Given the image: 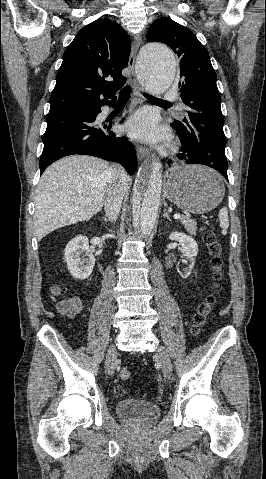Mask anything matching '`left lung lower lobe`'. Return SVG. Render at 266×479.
I'll list each match as a JSON object with an SVG mask.
<instances>
[{"label":"left lung lower lobe","mask_w":266,"mask_h":479,"mask_svg":"<svg viewBox=\"0 0 266 479\" xmlns=\"http://www.w3.org/2000/svg\"><path fill=\"white\" fill-rule=\"evenodd\" d=\"M173 127V126H172ZM174 128V127H173ZM175 129V128H174ZM180 135V134H179ZM180 139H181V144H182V148L180 149V152L179 154H177L178 158L180 160H185L186 163L188 164H203L199 161V159L193 157L189 152H188V149L186 148L185 144H184V140L182 138V136L180 135ZM169 163L171 162V160L168 161ZM203 165H207L209 167H212L214 169H216L217 171H219L220 173H222V175L228 180V176H227V168H228V164L226 161H221V160H218L214 163H211V164H203Z\"/></svg>","instance_id":"obj_1"}]
</instances>
